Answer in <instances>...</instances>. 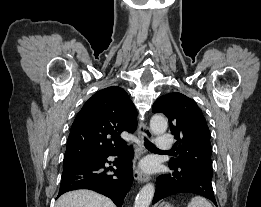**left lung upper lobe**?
Instances as JSON below:
<instances>
[{"label": "left lung upper lobe", "mask_w": 261, "mask_h": 207, "mask_svg": "<svg viewBox=\"0 0 261 207\" xmlns=\"http://www.w3.org/2000/svg\"><path fill=\"white\" fill-rule=\"evenodd\" d=\"M152 111L168 117L171 133L177 139L174 145L177 153L169 167H184L212 178L210 131L195 101L173 92L159 97Z\"/></svg>", "instance_id": "1"}]
</instances>
